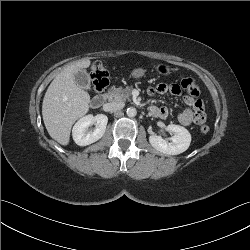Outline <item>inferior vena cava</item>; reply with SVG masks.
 I'll return each mask as SVG.
<instances>
[{
    "label": "inferior vena cava",
    "mask_w": 250,
    "mask_h": 250,
    "mask_svg": "<svg viewBox=\"0 0 250 250\" xmlns=\"http://www.w3.org/2000/svg\"><path fill=\"white\" fill-rule=\"evenodd\" d=\"M124 105L125 104L123 102H110V103H107L105 106H106L107 111L115 112V111L121 110L124 107Z\"/></svg>",
    "instance_id": "602c4592"
}]
</instances>
